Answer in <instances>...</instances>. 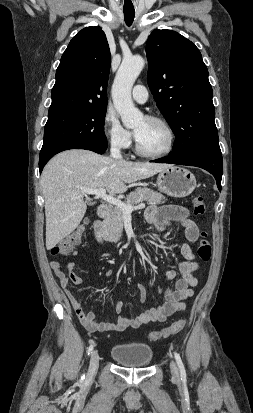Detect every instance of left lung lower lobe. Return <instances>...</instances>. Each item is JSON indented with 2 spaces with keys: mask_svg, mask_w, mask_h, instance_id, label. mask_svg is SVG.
I'll use <instances>...</instances> for the list:
<instances>
[{
  "mask_svg": "<svg viewBox=\"0 0 253 413\" xmlns=\"http://www.w3.org/2000/svg\"><path fill=\"white\" fill-rule=\"evenodd\" d=\"M153 162L171 163L179 165L196 166L210 172L216 179L218 189L221 190L222 154L211 151H200L188 154L169 155Z\"/></svg>",
  "mask_w": 253,
  "mask_h": 413,
  "instance_id": "1",
  "label": "left lung lower lobe"
}]
</instances>
